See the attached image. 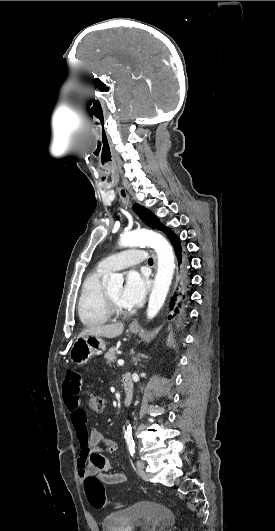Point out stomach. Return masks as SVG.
<instances>
[{"label": "stomach", "mask_w": 275, "mask_h": 531, "mask_svg": "<svg viewBox=\"0 0 275 531\" xmlns=\"http://www.w3.org/2000/svg\"><path fill=\"white\" fill-rule=\"evenodd\" d=\"M130 329V327H129ZM131 333H137V329H130ZM106 351V343L98 335H85L74 341L68 352V359L74 365H85L93 355H103Z\"/></svg>", "instance_id": "0dacf381"}]
</instances>
